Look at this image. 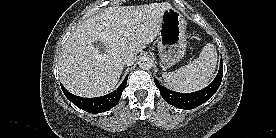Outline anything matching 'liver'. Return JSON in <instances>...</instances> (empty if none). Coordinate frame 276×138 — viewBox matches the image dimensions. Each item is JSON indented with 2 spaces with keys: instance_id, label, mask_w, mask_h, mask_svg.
<instances>
[{
  "instance_id": "obj_1",
  "label": "liver",
  "mask_w": 276,
  "mask_h": 138,
  "mask_svg": "<svg viewBox=\"0 0 276 138\" xmlns=\"http://www.w3.org/2000/svg\"><path fill=\"white\" fill-rule=\"evenodd\" d=\"M167 2L139 6H113L87 18L71 33L59 59L64 87L81 97L113 91L123 70L121 57L136 56L159 33ZM101 42L100 53L94 43Z\"/></svg>"
}]
</instances>
